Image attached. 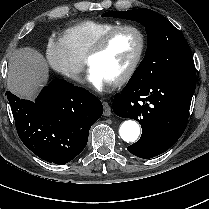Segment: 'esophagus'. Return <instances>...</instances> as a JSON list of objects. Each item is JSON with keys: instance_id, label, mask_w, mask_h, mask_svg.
<instances>
[{"instance_id": "esophagus-1", "label": "esophagus", "mask_w": 209, "mask_h": 209, "mask_svg": "<svg viewBox=\"0 0 209 209\" xmlns=\"http://www.w3.org/2000/svg\"><path fill=\"white\" fill-rule=\"evenodd\" d=\"M102 105H103V108H104L103 114L105 116H110L111 115V107H110V105L107 102H103Z\"/></svg>"}]
</instances>
